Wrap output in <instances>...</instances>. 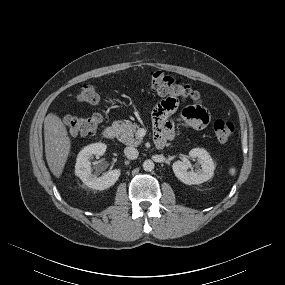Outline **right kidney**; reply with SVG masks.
Masks as SVG:
<instances>
[{
	"instance_id": "1",
	"label": "right kidney",
	"mask_w": 285,
	"mask_h": 285,
	"mask_svg": "<svg viewBox=\"0 0 285 285\" xmlns=\"http://www.w3.org/2000/svg\"><path fill=\"white\" fill-rule=\"evenodd\" d=\"M103 143H94L84 147L78 154L75 165V175L88 187L95 190H105L113 186L118 180L120 169H114L97 177L92 174L90 159L93 155L102 156L106 151Z\"/></svg>"
}]
</instances>
